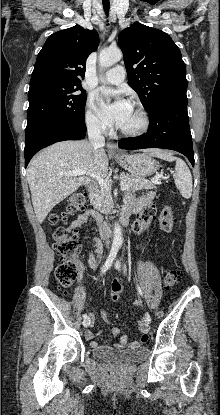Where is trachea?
<instances>
[{
	"instance_id": "trachea-1",
	"label": "trachea",
	"mask_w": 220,
	"mask_h": 415,
	"mask_svg": "<svg viewBox=\"0 0 220 415\" xmlns=\"http://www.w3.org/2000/svg\"><path fill=\"white\" fill-rule=\"evenodd\" d=\"M103 8H104L106 14H108L109 13V9H110V5L109 4H103Z\"/></svg>"
}]
</instances>
